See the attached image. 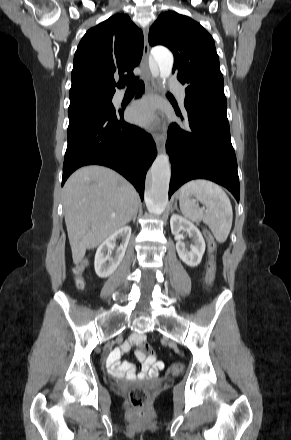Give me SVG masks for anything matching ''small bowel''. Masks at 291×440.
<instances>
[{"mask_svg":"<svg viewBox=\"0 0 291 440\" xmlns=\"http://www.w3.org/2000/svg\"><path fill=\"white\" fill-rule=\"evenodd\" d=\"M146 335L143 333L134 334L129 341L123 343L119 351L128 352L135 344L143 341ZM142 362V369L140 372L136 371L135 366L128 361L120 362L118 360V351H114L107 358V367L110 373L116 377H127L131 380H147L149 378H153L159 375V373L164 368V363L161 361H157L156 359H152L150 357L145 358L144 356L139 357ZM175 371L183 372L185 370V364L177 363L174 367Z\"/></svg>","mask_w":291,"mask_h":440,"instance_id":"1","label":"small bowel"}]
</instances>
